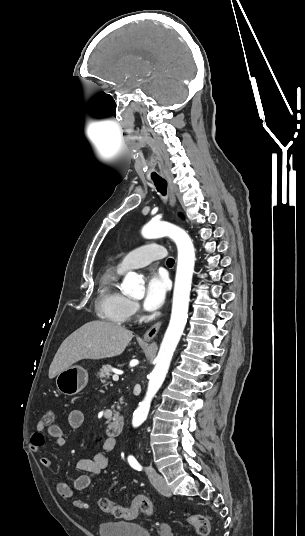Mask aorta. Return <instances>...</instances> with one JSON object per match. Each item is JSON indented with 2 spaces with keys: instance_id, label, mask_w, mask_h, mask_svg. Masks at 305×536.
<instances>
[{
  "instance_id": "1",
  "label": "aorta",
  "mask_w": 305,
  "mask_h": 536,
  "mask_svg": "<svg viewBox=\"0 0 305 536\" xmlns=\"http://www.w3.org/2000/svg\"><path fill=\"white\" fill-rule=\"evenodd\" d=\"M147 239L168 236L178 249V263L173 292V304L168 328L162 340L156 365L149 377L145 398L133 414L132 424L137 427L147 418L151 401L160 389L168 372L174 351L183 334L190 300V290L195 264V249L190 236L182 228L168 222H150L142 229ZM122 291L133 297L144 295V282L135 273L129 272L122 283Z\"/></svg>"
}]
</instances>
